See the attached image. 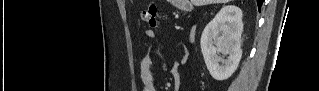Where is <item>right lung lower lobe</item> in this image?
<instances>
[{"mask_svg":"<svg viewBox=\"0 0 319 91\" xmlns=\"http://www.w3.org/2000/svg\"><path fill=\"white\" fill-rule=\"evenodd\" d=\"M262 3H263V0H257V4H258L259 10H260V8H261Z\"/></svg>","mask_w":319,"mask_h":91,"instance_id":"obj_1","label":"right lung lower lobe"}]
</instances>
